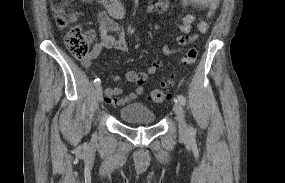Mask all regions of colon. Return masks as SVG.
I'll list each match as a JSON object with an SVG mask.
<instances>
[{
  "instance_id": "1",
  "label": "colon",
  "mask_w": 285,
  "mask_h": 183,
  "mask_svg": "<svg viewBox=\"0 0 285 183\" xmlns=\"http://www.w3.org/2000/svg\"><path fill=\"white\" fill-rule=\"evenodd\" d=\"M70 0H52L56 24L61 29H67L64 39L67 50L79 59H85L91 52V45L95 35L92 31H84L79 26H71L75 20V13L67 8ZM198 57V47H190L182 62L185 67L191 66ZM172 81L160 83L150 93V100L155 103H164L171 98L170 87Z\"/></svg>"
}]
</instances>
